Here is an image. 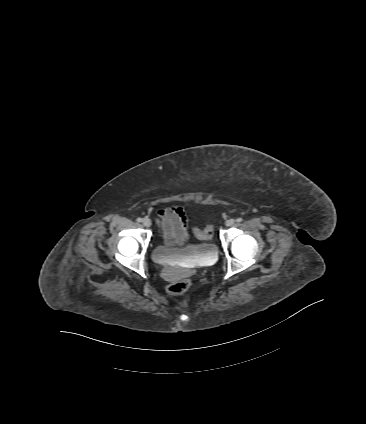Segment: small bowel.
Segmentation results:
<instances>
[{"mask_svg": "<svg viewBox=\"0 0 366 424\" xmlns=\"http://www.w3.org/2000/svg\"><path fill=\"white\" fill-rule=\"evenodd\" d=\"M157 220L164 240L169 245L181 244L185 241V214L180 207L173 206L159 209Z\"/></svg>", "mask_w": 366, "mask_h": 424, "instance_id": "obj_1", "label": "small bowel"}]
</instances>
